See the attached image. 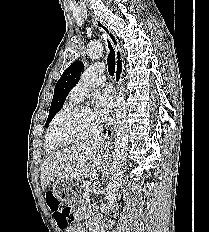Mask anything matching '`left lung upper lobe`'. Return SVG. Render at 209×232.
I'll return each instance as SVG.
<instances>
[{
    "instance_id": "obj_1",
    "label": "left lung upper lobe",
    "mask_w": 209,
    "mask_h": 232,
    "mask_svg": "<svg viewBox=\"0 0 209 232\" xmlns=\"http://www.w3.org/2000/svg\"><path fill=\"white\" fill-rule=\"evenodd\" d=\"M83 69L84 64L81 61H76L71 64L62 74L54 89V97L51 102L47 123L62 108L67 95L69 94L71 89L78 83Z\"/></svg>"
}]
</instances>
